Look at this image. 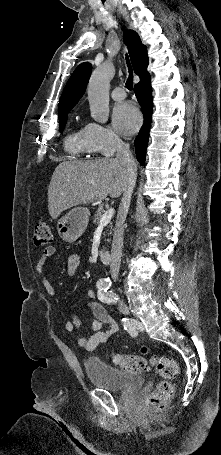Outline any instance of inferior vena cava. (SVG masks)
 <instances>
[{
	"mask_svg": "<svg viewBox=\"0 0 221 455\" xmlns=\"http://www.w3.org/2000/svg\"><path fill=\"white\" fill-rule=\"evenodd\" d=\"M117 159L122 164H124L128 180L118 209L111 249L110 272L111 277L114 280L117 279L120 269L123 248L124 222L128 213L131 196L137 177V165L133 159L132 153L130 152L129 144L124 143L122 140H118Z\"/></svg>",
	"mask_w": 221,
	"mask_h": 455,
	"instance_id": "inferior-vena-cava-1",
	"label": "inferior vena cava"
}]
</instances>
